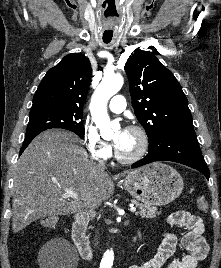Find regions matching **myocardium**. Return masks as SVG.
<instances>
[{
	"mask_svg": "<svg viewBox=\"0 0 221 268\" xmlns=\"http://www.w3.org/2000/svg\"><path fill=\"white\" fill-rule=\"evenodd\" d=\"M128 130L138 134V136L140 137V140H141V145H140L138 152L132 156H129V157L121 155L118 152V150L115 151V156H116L117 160L121 163H124V164H132V163H135V162L141 160L148 152L149 145H150L149 136H148L147 132L142 127L137 126V125H132V126L128 127Z\"/></svg>",
	"mask_w": 221,
	"mask_h": 268,
	"instance_id": "obj_1",
	"label": "myocardium"
}]
</instances>
